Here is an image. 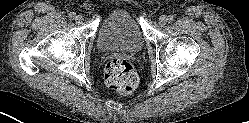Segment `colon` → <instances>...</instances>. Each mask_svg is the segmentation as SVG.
<instances>
[{
    "instance_id": "5ec220e1",
    "label": "colon",
    "mask_w": 249,
    "mask_h": 123,
    "mask_svg": "<svg viewBox=\"0 0 249 123\" xmlns=\"http://www.w3.org/2000/svg\"><path fill=\"white\" fill-rule=\"evenodd\" d=\"M107 86L122 96L133 93L138 85V75L133 65L124 58H112L105 67Z\"/></svg>"
}]
</instances>
